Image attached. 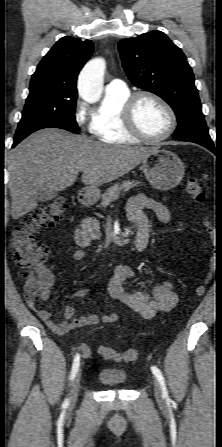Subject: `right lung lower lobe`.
<instances>
[{
    "label": "right lung lower lobe",
    "mask_w": 222,
    "mask_h": 447,
    "mask_svg": "<svg viewBox=\"0 0 222 447\" xmlns=\"http://www.w3.org/2000/svg\"><path fill=\"white\" fill-rule=\"evenodd\" d=\"M19 142H14L13 147L16 146Z\"/></svg>",
    "instance_id": "1"
}]
</instances>
